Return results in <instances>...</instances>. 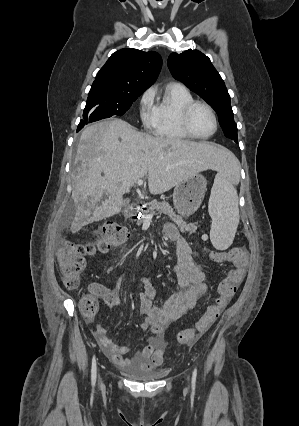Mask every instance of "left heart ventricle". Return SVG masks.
<instances>
[{
    "instance_id": "b2bd125f",
    "label": "left heart ventricle",
    "mask_w": 299,
    "mask_h": 426,
    "mask_svg": "<svg viewBox=\"0 0 299 426\" xmlns=\"http://www.w3.org/2000/svg\"><path fill=\"white\" fill-rule=\"evenodd\" d=\"M192 130L201 136L209 135L214 130V121L210 112L203 106H197L190 117Z\"/></svg>"
}]
</instances>
